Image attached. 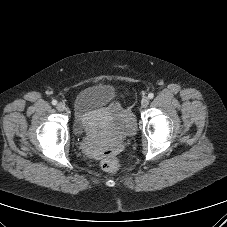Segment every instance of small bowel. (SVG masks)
<instances>
[{
	"instance_id": "small-bowel-1",
	"label": "small bowel",
	"mask_w": 227,
	"mask_h": 227,
	"mask_svg": "<svg viewBox=\"0 0 227 227\" xmlns=\"http://www.w3.org/2000/svg\"><path fill=\"white\" fill-rule=\"evenodd\" d=\"M108 114L116 122H120L123 120L127 121L130 119V114L122 108V106L119 102H116V101L112 102L109 105ZM88 150L91 154H93L94 156H97V157L101 156V154H102L95 144H91L88 147Z\"/></svg>"
}]
</instances>
